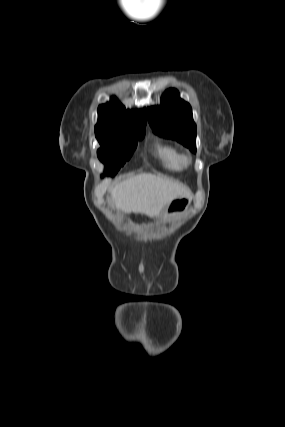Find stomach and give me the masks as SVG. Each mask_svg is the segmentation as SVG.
Segmentation results:
<instances>
[{
  "mask_svg": "<svg viewBox=\"0 0 285 427\" xmlns=\"http://www.w3.org/2000/svg\"><path fill=\"white\" fill-rule=\"evenodd\" d=\"M190 203L189 198H176L167 206L166 217L183 214L188 210Z\"/></svg>",
  "mask_w": 285,
  "mask_h": 427,
  "instance_id": "obj_1",
  "label": "stomach"
}]
</instances>
